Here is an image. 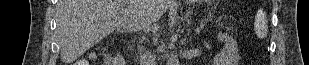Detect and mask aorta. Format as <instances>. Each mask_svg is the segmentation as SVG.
Instances as JSON below:
<instances>
[{
    "instance_id": "762f6f07",
    "label": "aorta",
    "mask_w": 309,
    "mask_h": 65,
    "mask_svg": "<svg viewBox=\"0 0 309 65\" xmlns=\"http://www.w3.org/2000/svg\"><path fill=\"white\" fill-rule=\"evenodd\" d=\"M167 65H179L178 57L176 55L168 56Z\"/></svg>"
}]
</instances>
